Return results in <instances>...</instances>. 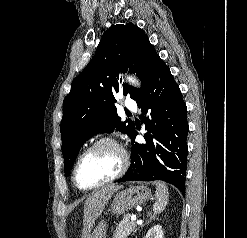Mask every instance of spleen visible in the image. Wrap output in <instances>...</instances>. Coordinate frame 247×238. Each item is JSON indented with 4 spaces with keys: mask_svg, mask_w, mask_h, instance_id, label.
<instances>
[{
    "mask_svg": "<svg viewBox=\"0 0 247 238\" xmlns=\"http://www.w3.org/2000/svg\"><path fill=\"white\" fill-rule=\"evenodd\" d=\"M155 185H156V192H155L156 201L153 205V212L154 214H159L165 209L168 203L169 193H168V188L164 183L156 182Z\"/></svg>",
    "mask_w": 247,
    "mask_h": 238,
    "instance_id": "obj_1",
    "label": "spleen"
}]
</instances>
